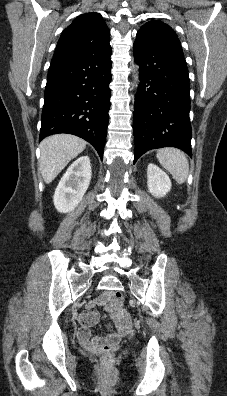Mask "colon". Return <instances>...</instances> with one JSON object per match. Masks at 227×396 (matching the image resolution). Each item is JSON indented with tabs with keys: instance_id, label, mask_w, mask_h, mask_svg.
Instances as JSON below:
<instances>
[{
	"instance_id": "obj_1",
	"label": "colon",
	"mask_w": 227,
	"mask_h": 396,
	"mask_svg": "<svg viewBox=\"0 0 227 396\" xmlns=\"http://www.w3.org/2000/svg\"><path fill=\"white\" fill-rule=\"evenodd\" d=\"M114 299H115V302H116L117 304H119V305H122V304H123L124 297H123V294H122V293L116 292V293L114 294ZM113 358H114L113 350H112L111 347L107 346V347L105 348V352H104V356H103V362H104V364H105L106 366L110 365V364L112 363V361H113Z\"/></svg>"
}]
</instances>
